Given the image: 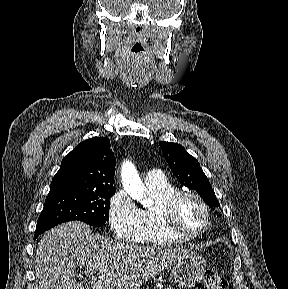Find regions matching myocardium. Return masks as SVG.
I'll use <instances>...</instances> for the list:
<instances>
[{
    "label": "myocardium",
    "instance_id": "1",
    "mask_svg": "<svg viewBox=\"0 0 288 289\" xmlns=\"http://www.w3.org/2000/svg\"><path fill=\"white\" fill-rule=\"evenodd\" d=\"M185 198L195 199L200 204L205 214V224L203 228L194 233H187L181 230L176 222L175 211L177 205ZM159 217L162 227L168 233L183 240L199 238L204 235L211 226V213L208 204L198 193L193 191L180 190L163 199L159 204Z\"/></svg>",
    "mask_w": 288,
    "mask_h": 289
}]
</instances>
